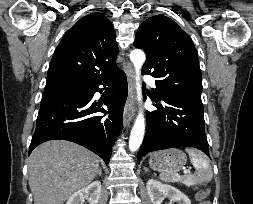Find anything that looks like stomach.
I'll return each instance as SVG.
<instances>
[{
  "label": "stomach",
  "mask_w": 253,
  "mask_h": 204,
  "mask_svg": "<svg viewBox=\"0 0 253 204\" xmlns=\"http://www.w3.org/2000/svg\"><path fill=\"white\" fill-rule=\"evenodd\" d=\"M187 162V157L180 149H168L153 153L149 160V165L154 171L160 173H177Z\"/></svg>",
  "instance_id": "obj_1"
}]
</instances>
